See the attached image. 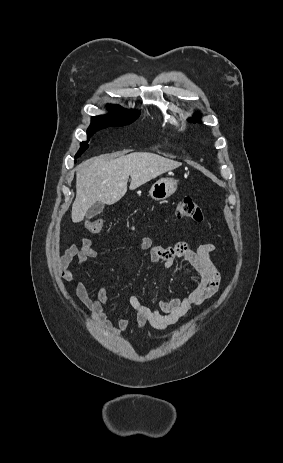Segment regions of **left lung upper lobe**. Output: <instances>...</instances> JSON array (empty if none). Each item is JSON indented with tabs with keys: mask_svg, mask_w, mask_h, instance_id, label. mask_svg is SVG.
Returning <instances> with one entry per match:
<instances>
[{
	"mask_svg": "<svg viewBox=\"0 0 283 463\" xmlns=\"http://www.w3.org/2000/svg\"><path fill=\"white\" fill-rule=\"evenodd\" d=\"M189 121H190V122H194V123H199V122H200V119H199L198 116H195V117H193V118H190Z\"/></svg>",
	"mask_w": 283,
	"mask_h": 463,
	"instance_id": "5c2ea615",
	"label": "left lung upper lobe"
}]
</instances>
